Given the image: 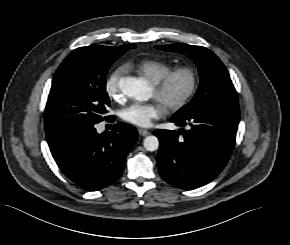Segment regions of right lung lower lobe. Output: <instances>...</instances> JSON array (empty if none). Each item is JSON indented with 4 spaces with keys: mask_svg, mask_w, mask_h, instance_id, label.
<instances>
[{
    "mask_svg": "<svg viewBox=\"0 0 290 245\" xmlns=\"http://www.w3.org/2000/svg\"><path fill=\"white\" fill-rule=\"evenodd\" d=\"M111 118H113L111 116ZM93 123L52 128L46 138L63 173L79 187L97 191L123 173L127 154L137 141L136 129L125 123L98 134Z\"/></svg>",
    "mask_w": 290,
    "mask_h": 245,
    "instance_id": "right-lung-lower-lobe-1",
    "label": "right lung lower lobe"
}]
</instances>
